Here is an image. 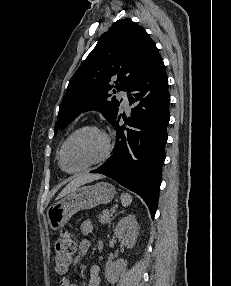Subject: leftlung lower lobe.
<instances>
[{
  "label": "left lung lower lobe",
  "mask_w": 231,
  "mask_h": 286,
  "mask_svg": "<svg viewBox=\"0 0 231 286\" xmlns=\"http://www.w3.org/2000/svg\"><path fill=\"white\" fill-rule=\"evenodd\" d=\"M127 92L131 110L127 126L112 121L116 144L112 156L91 173L104 174L143 198L152 218L157 210L161 170L165 160L170 95L162 58Z\"/></svg>",
  "instance_id": "1"
}]
</instances>
